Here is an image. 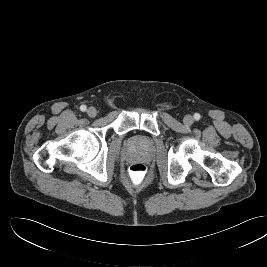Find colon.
Segmentation results:
<instances>
[{"label": "colon", "mask_w": 267, "mask_h": 267, "mask_svg": "<svg viewBox=\"0 0 267 267\" xmlns=\"http://www.w3.org/2000/svg\"><path fill=\"white\" fill-rule=\"evenodd\" d=\"M128 176L134 185H140L146 179L147 167L142 163H133L129 167Z\"/></svg>", "instance_id": "colon-1"}]
</instances>
